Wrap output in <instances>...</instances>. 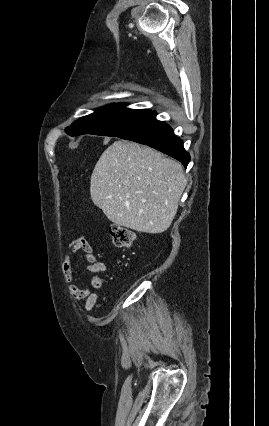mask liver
I'll return each mask as SVG.
<instances>
[{
	"instance_id": "obj_1",
	"label": "liver",
	"mask_w": 269,
	"mask_h": 426,
	"mask_svg": "<svg viewBox=\"0 0 269 426\" xmlns=\"http://www.w3.org/2000/svg\"><path fill=\"white\" fill-rule=\"evenodd\" d=\"M186 184L177 161L150 147L118 140L96 163L90 195L114 224L158 234L171 225Z\"/></svg>"
}]
</instances>
